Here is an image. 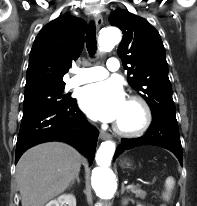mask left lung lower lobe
Here are the masks:
<instances>
[{
    "label": "left lung lower lobe",
    "instance_id": "0a47b994",
    "mask_svg": "<svg viewBox=\"0 0 197 206\" xmlns=\"http://www.w3.org/2000/svg\"><path fill=\"white\" fill-rule=\"evenodd\" d=\"M142 145H154L170 150L182 166V146L176 118L166 115L153 116L152 123L145 135L139 138L121 139V144L115 152L114 159L124 150Z\"/></svg>",
    "mask_w": 197,
    "mask_h": 206
}]
</instances>
